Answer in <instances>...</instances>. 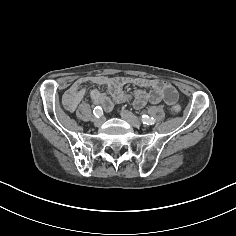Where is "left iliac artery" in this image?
<instances>
[{
  "instance_id": "1",
  "label": "left iliac artery",
  "mask_w": 236,
  "mask_h": 236,
  "mask_svg": "<svg viewBox=\"0 0 236 236\" xmlns=\"http://www.w3.org/2000/svg\"><path fill=\"white\" fill-rule=\"evenodd\" d=\"M141 121L143 124H146V125H153L156 122V120L153 117H149L148 115H142Z\"/></svg>"
}]
</instances>
